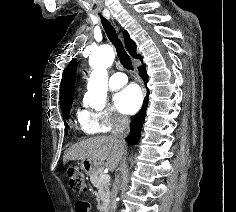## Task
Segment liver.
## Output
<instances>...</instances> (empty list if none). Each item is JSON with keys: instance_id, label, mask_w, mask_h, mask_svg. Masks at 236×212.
I'll list each match as a JSON object with an SVG mask.
<instances>
[{"instance_id": "6515ba94", "label": "liver", "mask_w": 236, "mask_h": 212, "mask_svg": "<svg viewBox=\"0 0 236 212\" xmlns=\"http://www.w3.org/2000/svg\"><path fill=\"white\" fill-rule=\"evenodd\" d=\"M124 153V144L111 136H98L85 139L72 145L63 156V163L70 160H90L100 166L106 161L105 166L114 170Z\"/></svg>"}]
</instances>
